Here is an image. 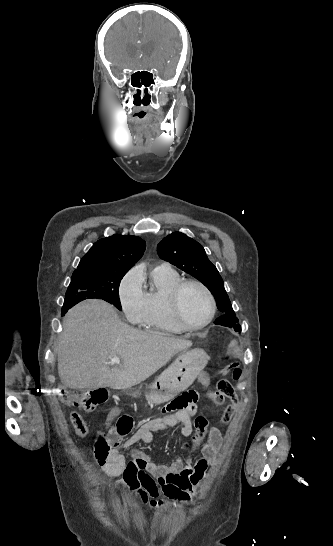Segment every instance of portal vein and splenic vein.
<instances>
[{
  "mask_svg": "<svg viewBox=\"0 0 333 546\" xmlns=\"http://www.w3.org/2000/svg\"><path fill=\"white\" fill-rule=\"evenodd\" d=\"M110 363L120 364V358L117 357V356H114V357L111 358Z\"/></svg>",
  "mask_w": 333,
  "mask_h": 546,
  "instance_id": "18ae733b",
  "label": "portal vein and splenic vein"
}]
</instances>
